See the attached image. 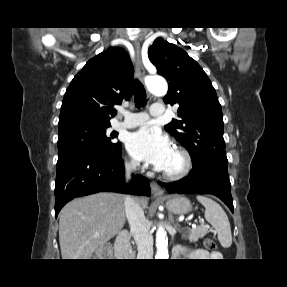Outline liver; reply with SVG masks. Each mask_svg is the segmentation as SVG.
Returning <instances> with one entry per match:
<instances>
[{
    "label": "liver",
    "instance_id": "liver-1",
    "mask_svg": "<svg viewBox=\"0 0 287 287\" xmlns=\"http://www.w3.org/2000/svg\"><path fill=\"white\" fill-rule=\"evenodd\" d=\"M125 197L97 193L69 202L59 214V242L62 259H89L116 236L126 221ZM136 201L147 207L145 198Z\"/></svg>",
    "mask_w": 287,
    "mask_h": 287
}]
</instances>
